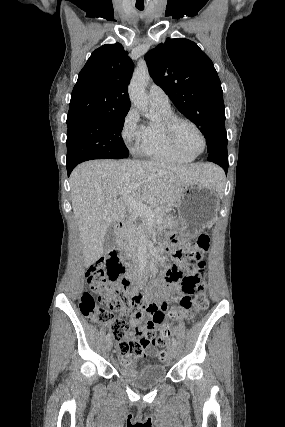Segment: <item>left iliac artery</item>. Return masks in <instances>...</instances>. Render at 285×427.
<instances>
[{
	"instance_id": "1",
	"label": "left iliac artery",
	"mask_w": 285,
	"mask_h": 427,
	"mask_svg": "<svg viewBox=\"0 0 285 427\" xmlns=\"http://www.w3.org/2000/svg\"><path fill=\"white\" fill-rule=\"evenodd\" d=\"M172 343H173L175 346H177V341H176V339H175L174 337H172Z\"/></svg>"
}]
</instances>
